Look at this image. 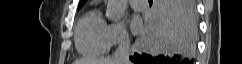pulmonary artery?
I'll use <instances>...</instances> for the list:
<instances>
[{"label": "pulmonary artery", "instance_id": "e3ab8cb5", "mask_svg": "<svg viewBox=\"0 0 242 64\" xmlns=\"http://www.w3.org/2000/svg\"><path fill=\"white\" fill-rule=\"evenodd\" d=\"M130 5L138 11H143L147 7V1L146 0H130Z\"/></svg>", "mask_w": 242, "mask_h": 64}]
</instances>
